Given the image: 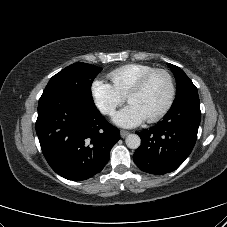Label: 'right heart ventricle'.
I'll return each instance as SVG.
<instances>
[{
	"instance_id": "right-heart-ventricle-1",
	"label": "right heart ventricle",
	"mask_w": 227,
	"mask_h": 227,
	"mask_svg": "<svg viewBox=\"0 0 227 227\" xmlns=\"http://www.w3.org/2000/svg\"><path fill=\"white\" fill-rule=\"evenodd\" d=\"M154 69L153 66L141 63H131L112 70L108 77L112 86L122 95L126 96L131 86L145 73Z\"/></svg>"
}]
</instances>
